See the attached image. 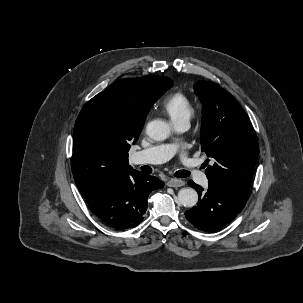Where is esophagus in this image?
I'll return each instance as SVG.
<instances>
[{"instance_id": "34e87169", "label": "esophagus", "mask_w": 303, "mask_h": 303, "mask_svg": "<svg viewBox=\"0 0 303 303\" xmlns=\"http://www.w3.org/2000/svg\"><path fill=\"white\" fill-rule=\"evenodd\" d=\"M185 182L181 179L171 178L167 180L166 185L169 187H181L184 186Z\"/></svg>"}]
</instances>
